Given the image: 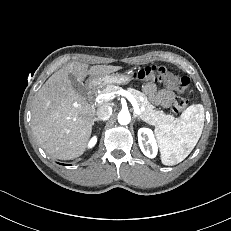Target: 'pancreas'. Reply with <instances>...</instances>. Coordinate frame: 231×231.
I'll return each instance as SVG.
<instances>
[{"mask_svg": "<svg viewBox=\"0 0 231 231\" xmlns=\"http://www.w3.org/2000/svg\"><path fill=\"white\" fill-rule=\"evenodd\" d=\"M120 90L123 89L119 86L107 85L101 89V94L118 92ZM127 91L135 97L139 107H144V110L140 112L139 117L146 123L159 126L172 124L175 122V118L172 115H166L163 111L154 110V106L150 104V102L147 100V97L142 92L132 88H128Z\"/></svg>", "mask_w": 231, "mask_h": 231, "instance_id": "1", "label": "pancreas"}]
</instances>
